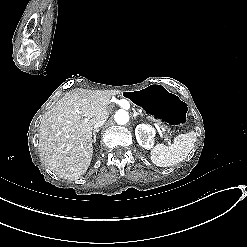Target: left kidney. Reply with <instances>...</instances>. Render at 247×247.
Listing matches in <instances>:
<instances>
[{"label": "left kidney", "instance_id": "obj_1", "mask_svg": "<svg viewBox=\"0 0 247 247\" xmlns=\"http://www.w3.org/2000/svg\"><path fill=\"white\" fill-rule=\"evenodd\" d=\"M154 135L155 130L144 124L138 125L135 129L136 140L145 149L152 147Z\"/></svg>", "mask_w": 247, "mask_h": 247}]
</instances>
